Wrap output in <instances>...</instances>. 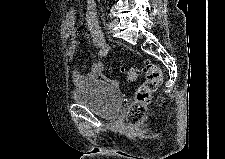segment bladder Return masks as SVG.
<instances>
[{"label": "bladder", "instance_id": "1", "mask_svg": "<svg viewBox=\"0 0 225 159\" xmlns=\"http://www.w3.org/2000/svg\"><path fill=\"white\" fill-rule=\"evenodd\" d=\"M73 99L77 104L86 106L107 120L116 119L123 104L119 90L103 80H93L76 87Z\"/></svg>", "mask_w": 225, "mask_h": 159}]
</instances>
